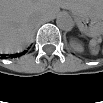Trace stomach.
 I'll use <instances>...</instances> for the list:
<instances>
[{"instance_id": "obj_1", "label": "stomach", "mask_w": 103, "mask_h": 103, "mask_svg": "<svg viewBox=\"0 0 103 103\" xmlns=\"http://www.w3.org/2000/svg\"><path fill=\"white\" fill-rule=\"evenodd\" d=\"M72 14L78 28L84 34L98 37L102 33L103 5L99 0L74 1Z\"/></svg>"}]
</instances>
